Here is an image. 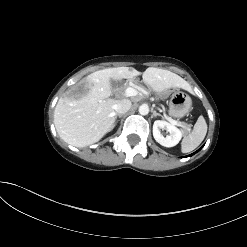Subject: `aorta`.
<instances>
[{"mask_svg":"<svg viewBox=\"0 0 247 247\" xmlns=\"http://www.w3.org/2000/svg\"><path fill=\"white\" fill-rule=\"evenodd\" d=\"M139 113L141 115H147L149 113V107L147 104H142L140 107H139Z\"/></svg>","mask_w":247,"mask_h":247,"instance_id":"1","label":"aorta"}]
</instances>
